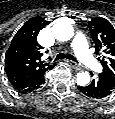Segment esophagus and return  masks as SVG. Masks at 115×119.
I'll list each match as a JSON object with an SVG mask.
<instances>
[{"label": "esophagus", "mask_w": 115, "mask_h": 119, "mask_svg": "<svg viewBox=\"0 0 115 119\" xmlns=\"http://www.w3.org/2000/svg\"><path fill=\"white\" fill-rule=\"evenodd\" d=\"M69 64H70V66H71L72 68H74L75 70H81V69H82V67H81L78 63H76V62H74V61H69Z\"/></svg>", "instance_id": "obj_1"}]
</instances>
